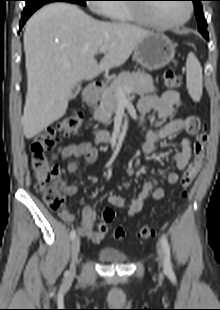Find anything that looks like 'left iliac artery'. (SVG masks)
Masks as SVG:
<instances>
[{"mask_svg": "<svg viewBox=\"0 0 220 310\" xmlns=\"http://www.w3.org/2000/svg\"><path fill=\"white\" fill-rule=\"evenodd\" d=\"M161 245L165 255V269L170 272L172 270L171 253L170 246L165 235L161 237Z\"/></svg>", "mask_w": 220, "mask_h": 310, "instance_id": "1", "label": "left iliac artery"}]
</instances>
